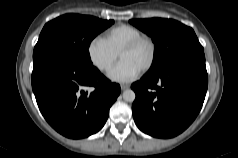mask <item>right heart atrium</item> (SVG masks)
I'll list each match as a JSON object with an SVG mask.
<instances>
[{
  "instance_id": "right-heart-atrium-1",
  "label": "right heart atrium",
  "mask_w": 238,
  "mask_h": 158,
  "mask_svg": "<svg viewBox=\"0 0 238 158\" xmlns=\"http://www.w3.org/2000/svg\"><path fill=\"white\" fill-rule=\"evenodd\" d=\"M87 52L91 63L102 72L108 71L118 57V53L100 36L89 42Z\"/></svg>"
}]
</instances>
